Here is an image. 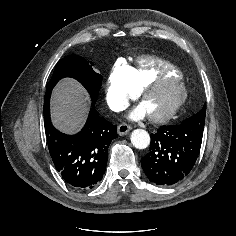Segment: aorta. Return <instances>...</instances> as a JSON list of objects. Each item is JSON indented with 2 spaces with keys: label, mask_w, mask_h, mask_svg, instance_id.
<instances>
[{
  "label": "aorta",
  "mask_w": 236,
  "mask_h": 236,
  "mask_svg": "<svg viewBox=\"0 0 236 236\" xmlns=\"http://www.w3.org/2000/svg\"><path fill=\"white\" fill-rule=\"evenodd\" d=\"M131 143L137 149H145L150 144V136L146 130L136 129L131 133Z\"/></svg>",
  "instance_id": "obj_1"
}]
</instances>
